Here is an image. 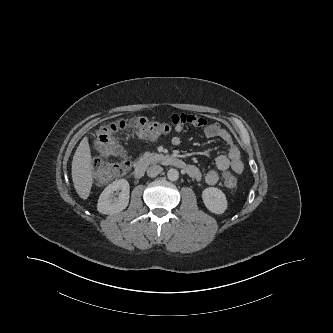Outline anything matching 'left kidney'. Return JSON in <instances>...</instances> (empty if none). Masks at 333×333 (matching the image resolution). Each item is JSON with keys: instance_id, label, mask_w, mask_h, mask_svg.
<instances>
[{"instance_id": "left-kidney-1", "label": "left kidney", "mask_w": 333, "mask_h": 333, "mask_svg": "<svg viewBox=\"0 0 333 333\" xmlns=\"http://www.w3.org/2000/svg\"><path fill=\"white\" fill-rule=\"evenodd\" d=\"M206 208L215 214H223L228 206L225 194L218 188L208 187L202 192Z\"/></svg>"}]
</instances>
